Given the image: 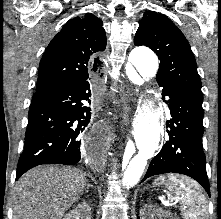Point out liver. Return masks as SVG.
I'll return each instance as SVG.
<instances>
[{"label": "liver", "mask_w": 221, "mask_h": 219, "mask_svg": "<svg viewBox=\"0 0 221 219\" xmlns=\"http://www.w3.org/2000/svg\"><path fill=\"white\" fill-rule=\"evenodd\" d=\"M87 185L86 174L73 167L33 168L15 185L13 219H62Z\"/></svg>", "instance_id": "liver-1"}]
</instances>
